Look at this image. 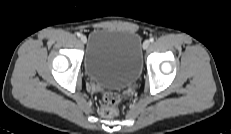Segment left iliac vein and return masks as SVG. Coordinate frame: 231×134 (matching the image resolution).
<instances>
[{"mask_svg": "<svg viewBox=\"0 0 231 134\" xmlns=\"http://www.w3.org/2000/svg\"><path fill=\"white\" fill-rule=\"evenodd\" d=\"M149 46H150V41L149 40L144 41L143 49H147Z\"/></svg>", "mask_w": 231, "mask_h": 134, "instance_id": "1", "label": "left iliac vein"}]
</instances>
